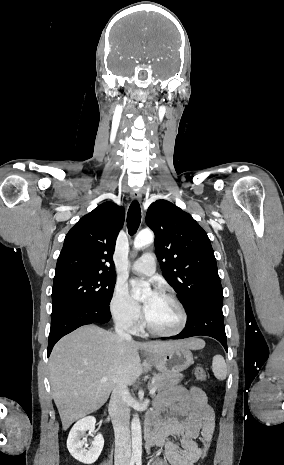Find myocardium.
Instances as JSON below:
<instances>
[{
	"instance_id": "obj_1",
	"label": "myocardium",
	"mask_w": 284,
	"mask_h": 465,
	"mask_svg": "<svg viewBox=\"0 0 284 465\" xmlns=\"http://www.w3.org/2000/svg\"><path fill=\"white\" fill-rule=\"evenodd\" d=\"M158 295H162L165 298H167L177 308V310L179 312V315H180V323H179L178 327L172 332H167V333L158 332V331H155L154 329H152L150 327V325L147 323V321H148L147 318L145 317L144 314H142V323H141L142 328L149 335H151L153 337H156V338H161V339L175 338V337L179 336L184 331V329H185V327L187 325L188 316H187L186 310L183 307V305L181 304V302L173 294H171L170 292H168L166 290H160L158 292Z\"/></svg>"
}]
</instances>
